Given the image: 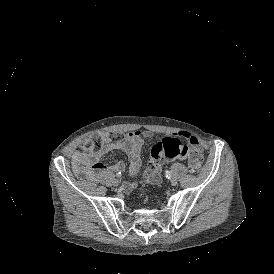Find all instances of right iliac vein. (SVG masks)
<instances>
[{
	"label": "right iliac vein",
	"instance_id": "1",
	"mask_svg": "<svg viewBox=\"0 0 274 274\" xmlns=\"http://www.w3.org/2000/svg\"><path fill=\"white\" fill-rule=\"evenodd\" d=\"M113 184H114L115 186H118V185H119V180L115 179L114 182H113Z\"/></svg>",
	"mask_w": 274,
	"mask_h": 274
}]
</instances>
